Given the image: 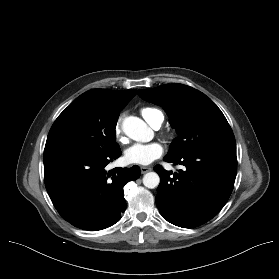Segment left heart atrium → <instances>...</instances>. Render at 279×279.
<instances>
[{
    "label": "left heart atrium",
    "mask_w": 279,
    "mask_h": 279,
    "mask_svg": "<svg viewBox=\"0 0 279 279\" xmlns=\"http://www.w3.org/2000/svg\"><path fill=\"white\" fill-rule=\"evenodd\" d=\"M163 154V147L158 142L134 144L124 153L126 162L137 165H149Z\"/></svg>",
    "instance_id": "left-heart-atrium-1"
}]
</instances>
